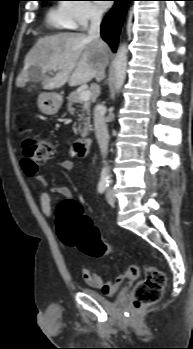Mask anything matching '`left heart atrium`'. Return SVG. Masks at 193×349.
<instances>
[{
    "label": "left heart atrium",
    "mask_w": 193,
    "mask_h": 349,
    "mask_svg": "<svg viewBox=\"0 0 193 349\" xmlns=\"http://www.w3.org/2000/svg\"><path fill=\"white\" fill-rule=\"evenodd\" d=\"M101 5H102V7H104V8L109 7V4H107V3H101Z\"/></svg>",
    "instance_id": "1"
}]
</instances>
